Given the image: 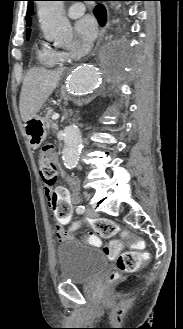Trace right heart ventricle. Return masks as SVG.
<instances>
[{"mask_svg": "<svg viewBox=\"0 0 183 329\" xmlns=\"http://www.w3.org/2000/svg\"><path fill=\"white\" fill-rule=\"evenodd\" d=\"M37 60L45 67H53L62 61L60 52L48 47L42 46L37 52Z\"/></svg>", "mask_w": 183, "mask_h": 329, "instance_id": "obj_1", "label": "right heart ventricle"}]
</instances>
